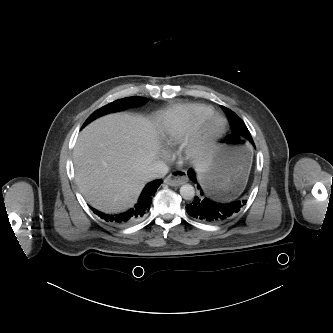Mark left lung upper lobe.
<instances>
[{
  "instance_id": "left-lung-upper-lobe-1",
  "label": "left lung upper lobe",
  "mask_w": 333,
  "mask_h": 333,
  "mask_svg": "<svg viewBox=\"0 0 333 333\" xmlns=\"http://www.w3.org/2000/svg\"><path fill=\"white\" fill-rule=\"evenodd\" d=\"M225 112L228 114V118L231 126V134L234 139H246L250 141L253 145V139L249 130L247 129L245 123L230 109L222 106Z\"/></svg>"
}]
</instances>
